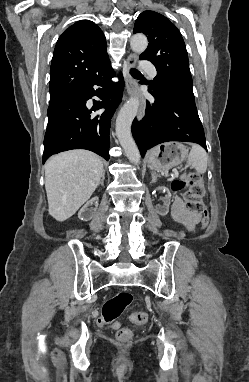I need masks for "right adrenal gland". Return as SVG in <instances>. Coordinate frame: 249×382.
Here are the masks:
<instances>
[{"instance_id":"1","label":"right adrenal gland","mask_w":249,"mask_h":382,"mask_svg":"<svg viewBox=\"0 0 249 382\" xmlns=\"http://www.w3.org/2000/svg\"><path fill=\"white\" fill-rule=\"evenodd\" d=\"M104 179H105V170L103 172V175H102V178H101V181H100V184L103 186L104 185Z\"/></svg>"}]
</instances>
